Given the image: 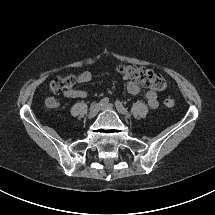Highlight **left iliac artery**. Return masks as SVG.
<instances>
[{
    "mask_svg": "<svg viewBox=\"0 0 215 215\" xmlns=\"http://www.w3.org/2000/svg\"><path fill=\"white\" fill-rule=\"evenodd\" d=\"M115 106H116V108H117L118 110H120L122 113H124V114H127V113H128L127 108H125V107L123 106L122 102H120V101L117 100V101L115 102Z\"/></svg>",
    "mask_w": 215,
    "mask_h": 215,
    "instance_id": "44dca946",
    "label": "left iliac artery"
}]
</instances>
